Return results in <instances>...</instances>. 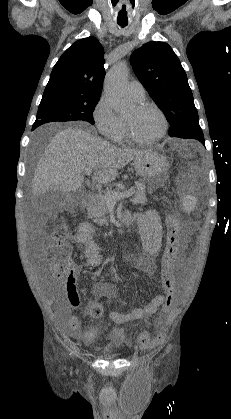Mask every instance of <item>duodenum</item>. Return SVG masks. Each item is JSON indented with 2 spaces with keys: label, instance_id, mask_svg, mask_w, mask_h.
Instances as JSON below:
<instances>
[{
  "label": "duodenum",
  "instance_id": "duodenum-1",
  "mask_svg": "<svg viewBox=\"0 0 231 419\" xmlns=\"http://www.w3.org/2000/svg\"><path fill=\"white\" fill-rule=\"evenodd\" d=\"M94 204V195L91 193L85 194L84 197V206L87 208H91ZM134 223V218L128 214L121 216L118 219V224L121 226H130Z\"/></svg>",
  "mask_w": 231,
  "mask_h": 419
}]
</instances>
